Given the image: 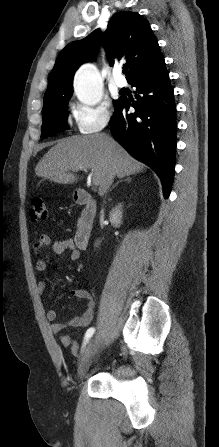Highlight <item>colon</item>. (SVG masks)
<instances>
[{"label":"colon","mask_w":219,"mask_h":447,"mask_svg":"<svg viewBox=\"0 0 219 447\" xmlns=\"http://www.w3.org/2000/svg\"><path fill=\"white\" fill-rule=\"evenodd\" d=\"M29 215L33 222H41L47 219V208L44 198L36 197L33 199Z\"/></svg>","instance_id":"colon-1"}]
</instances>
